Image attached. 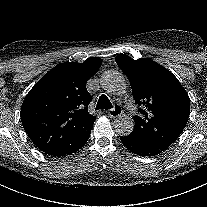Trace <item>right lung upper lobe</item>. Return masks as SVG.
I'll list each match as a JSON object with an SVG mask.
<instances>
[{
    "label": "right lung upper lobe",
    "instance_id": "right-lung-upper-lobe-1",
    "mask_svg": "<svg viewBox=\"0 0 207 207\" xmlns=\"http://www.w3.org/2000/svg\"><path fill=\"white\" fill-rule=\"evenodd\" d=\"M101 64L102 59L95 57L84 63L58 64L27 94L21 121L33 143L45 154L70 155L90 134L96 117L87 109L92 97L86 82Z\"/></svg>",
    "mask_w": 207,
    "mask_h": 207
}]
</instances>
